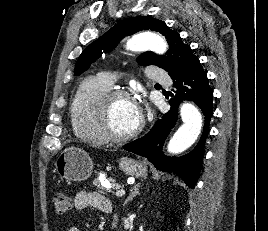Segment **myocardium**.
<instances>
[{"label": "myocardium", "instance_id": "1", "mask_svg": "<svg viewBox=\"0 0 268 231\" xmlns=\"http://www.w3.org/2000/svg\"><path fill=\"white\" fill-rule=\"evenodd\" d=\"M127 98L134 101L131 93L124 89L110 88L106 91L97 102L96 121L100 133L108 140L121 142L132 139L139 135L144 128V118L141 116L139 125L127 133L117 132L111 123V108L118 99Z\"/></svg>", "mask_w": 268, "mask_h": 231}]
</instances>
